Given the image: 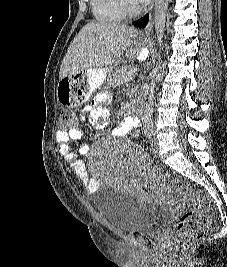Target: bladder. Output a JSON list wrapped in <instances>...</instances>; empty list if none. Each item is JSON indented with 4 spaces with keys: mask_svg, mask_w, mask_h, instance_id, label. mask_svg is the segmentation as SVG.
Returning a JSON list of instances; mask_svg holds the SVG:
<instances>
[{
    "mask_svg": "<svg viewBox=\"0 0 227 267\" xmlns=\"http://www.w3.org/2000/svg\"><path fill=\"white\" fill-rule=\"evenodd\" d=\"M100 210L106 222L114 229L161 235L174 216L173 209L153 199H138L119 188L105 186L101 190Z\"/></svg>",
    "mask_w": 227,
    "mask_h": 267,
    "instance_id": "obj_1",
    "label": "bladder"
}]
</instances>
